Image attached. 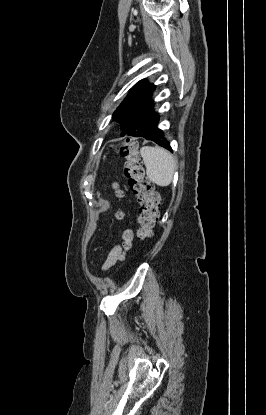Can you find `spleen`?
<instances>
[{
	"label": "spleen",
	"mask_w": 266,
	"mask_h": 415,
	"mask_svg": "<svg viewBox=\"0 0 266 415\" xmlns=\"http://www.w3.org/2000/svg\"><path fill=\"white\" fill-rule=\"evenodd\" d=\"M140 154L149 180L161 187L168 186L176 169V162L171 153L160 147L144 146Z\"/></svg>",
	"instance_id": "spleen-1"
}]
</instances>
